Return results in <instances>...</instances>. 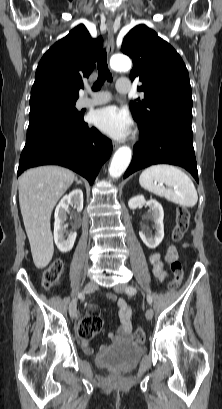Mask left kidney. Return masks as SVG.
Listing matches in <instances>:
<instances>
[{
    "mask_svg": "<svg viewBox=\"0 0 222 409\" xmlns=\"http://www.w3.org/2000/svg\"><path fill=\"white\" fill-rule=\"evenodd\" d=\"M146 204L150 208L149 216L154 221V228L156 233L152 236L150 233H145L144 231L139 232L141 240L144 244L150 248H156L164 238V211L159 202L154 199H150L148 201L145 200L144 196L139 195L131 198L128 202V206L130 209L134 210Z\"/></svg>",
    "mask_w": 222,
    "mask_h": 409,
    "instance_id": "1",
    "label": "left kidney"
}]
</instances>
